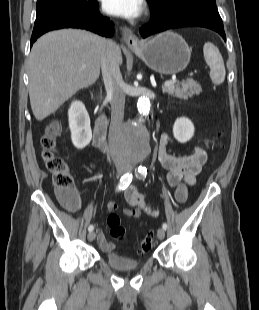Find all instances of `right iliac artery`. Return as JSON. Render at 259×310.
I'll list each match as a JSON object with an SVG mask.
<instances>
[{
    "label": "right iliac artery",
    "mask_w": 259,
    "mask_h": 310,
    "mask_svg": "<svg viewBox=\"0 0 259 310\" xmlns=\"http://www.w3.org/2000/svg\"><path fill=\"white\" fill-rule=\"evenodd\" d=\"M132 181V174H129V173H126L124 174L121 179H120V182L117 186V190H124ZM94 227L93 225H90L88 227V230L89 231H93Z\"/></svg>",
    "instance_id": "82829eb1"
}]
</instances>
